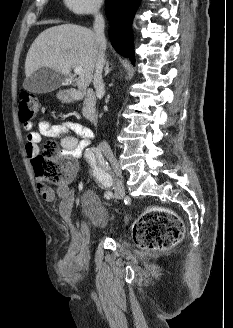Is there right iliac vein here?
<instances>
[{"mask_svg": "<svg viewBox=\"0 0 233 328\" xmlns=\"http://www.w3.org/2000/svg\"><path fill=\"white\" fill-rule=\"evenodd\" d=\"M101 152L107 158V160L110 162L112 169L114 171L115 198L122 199L125 195V188H124V183L122 180V172H121L119 162L109 147H107V146L102 147Z\"/></svg>", "mask_w": 233, "mask_h": 328, "instance_id": "right-iliac-vein-1", "label": "right iliac vein"}]
</instances>
